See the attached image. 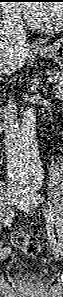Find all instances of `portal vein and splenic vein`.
Masks as SVG:
<instances>
[{
  "label": "portal vein and splenic vein",
  "mask_w": 63,
  "mask_h": 297,
  "mask_svg": "<svg viewBox=\"0 0 63 297\" xmlns=\"http://www.w3.org/2000/svg\"><path fill=\"white\" fill-rule=\"evenodd\" d=\"M47 81H48V83H53L56 81V79L54 76H50V77H48Z\"/></svg>",
  "instance_id": "1"
}]
</instances>
